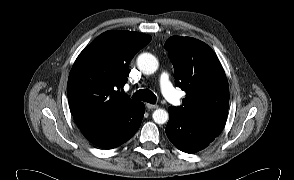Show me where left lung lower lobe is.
<instances>
[{
	"label": "left lung lower lobe",
	"mask_w": 294,
	"mask_h": 180,
	"mask_svg": "<svg viewBox=\"0 0 294 180\" xmlns=\"http://www.w3.org/2000/svg\"><path fill=\"white\" fill-rule=\"evenodd\" d=\"M170 119L166 126L169 140L186 153H195L207 147L222 132L225 119H193L169 107Z\"/></svg>",
	"instance_id": "1"
}]
</instances>
